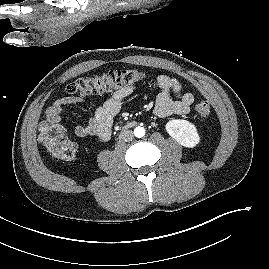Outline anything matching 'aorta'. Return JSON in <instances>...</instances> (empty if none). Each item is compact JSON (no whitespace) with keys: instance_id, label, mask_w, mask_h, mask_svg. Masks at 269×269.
Segmentation results:
<instances>
[{"instance_id":"obj_1","label":"aorta","mask_w":269,"mask_h":269,"mask_svg":"<svg viewBox=\"0 0 269 269\" xmlns=\"http://www.w3.org/2000/svg\"><path fill=\"white\" fill-rule=\"evenodd\" d=\"M134 135L137 137V138H141L145 135V129L143 127H136L134 129Z\"/></svg>"}]
</instances>
